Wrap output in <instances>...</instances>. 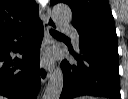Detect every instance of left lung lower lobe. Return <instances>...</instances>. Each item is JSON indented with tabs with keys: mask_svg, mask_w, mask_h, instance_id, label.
<instances>
[{
	"mask_svg": "<svg viewBox=\"0 0 128 99\" xmlns=\"http://www.w3.org/2000/svg\"><path fill=\"white\" fill-rule=\"evenodd\" d=\"M77 64L62 62L64 84L60 99L83 95L121 99L117 37L98 32L79 33Z\"/></svg>",
	"mask_w": 128,
	"mask_h": 99,
	"instance_id": "left-lung-lower-lobe-1",
	"label": "left lung lower lobe"
}]
</instances>
